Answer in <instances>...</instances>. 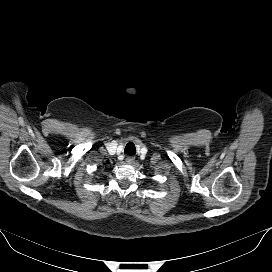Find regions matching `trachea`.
Segmentation results:
<instances>
[{
    "instance_id": "trachea-1",
    "label": "trachea",
    "mask_w": 272,
    "mask_h": 272,
    "mask_svg": "<svg viewBox=\"0 0 272 272\" xmlns=\"http://www.w3.org/2000/svg\"><path fill=\"white\" fill-rule=\"evenodd\" d=\"M125 154H128L130 156L135 155L136 154V148L133 142H129L127 143L126 147H125Z\"/></svg>"
}]
</instances>
